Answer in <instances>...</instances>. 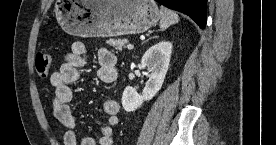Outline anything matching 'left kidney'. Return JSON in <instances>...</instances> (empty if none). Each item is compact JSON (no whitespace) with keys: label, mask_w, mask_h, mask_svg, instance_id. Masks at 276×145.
Returning <instances> with one entry per match:
<instances>
[{"label":"left kidney","mask_w":276,"mask_h":145,"mask_svg":"<svg viewBox=\"0 0 276 145\" xmlns=\"http://www.w3.org/2000/svg\"><path fill=\"white\" fill-rule=\"evenodd\" d=\"M172 47V43L161 41L151 46L143 55L141 65L148 69L150 76L141 95L131 86L125 88L121 100L125 111H135L161 89L169 68Z\"/></svg>","instance_id":"left-kidney-1"}]
</instances>
